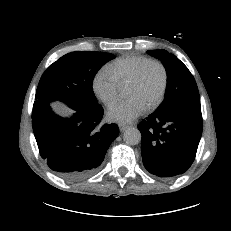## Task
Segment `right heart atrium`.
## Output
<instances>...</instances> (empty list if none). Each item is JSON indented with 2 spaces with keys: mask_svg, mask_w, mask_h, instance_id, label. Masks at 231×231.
<instances>
[{
  "mask_svg": "<svg viewBox=\"0 0 231 231\" xmlns=\"http://www.w3.org/2000/svg\"><path fill=\"white\" fill-rule=\"evenodd\" d=\"M92 87L97 98L105 105L111 104L117 98L120 90L114 77L106 68L96 73Z\"/></svg>",
  "mask_w": 231,
  "mask_h": 231,
  "instance_id": "obj_1",
  "label": "right heart atrium"
}]
</instances>
